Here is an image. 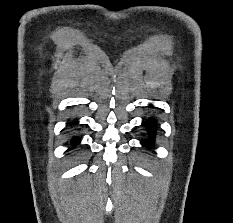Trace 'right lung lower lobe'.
<instances>
[{"label":"right lung lower lobe","mask_w":233,"mask_h":223,"mask_svg":"<svg viewBox=\"0 0 233 223\" xmlns=\"http://www.w3.org/2000/svg\"><path fill=\"white\" fill-rule=\"evenodd\" d=\"M76 123V122H75ZM79 138H77V137H74L73 139H72V144L73 145H76V144H78L79 143Z\"/></svg>","instance_id":"98d812e1"}]
</instances>
